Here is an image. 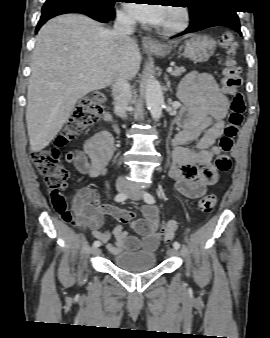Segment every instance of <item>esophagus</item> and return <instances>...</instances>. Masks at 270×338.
<instances>
[{
	"mask_svg": "<svg viewBox=\"0 0 270 338\" xmlns=\"http://www.w3.org/2000/svg\"><path fill=\"white\" fill-rule=\"evenodd\" d=\"M142 44L144 47H155L159 46V42L149 36L142 37Z\"/></svg>",
	"mask_w": 270,
	"mask_h": 338,
	"instance_id": "obj_1",
	"label": "esophagus"
}]
</instances>
